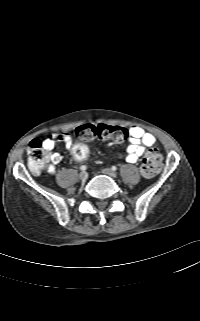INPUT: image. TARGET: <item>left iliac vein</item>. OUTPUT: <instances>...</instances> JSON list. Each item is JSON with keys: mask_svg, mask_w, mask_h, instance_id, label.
<instances>
[{"mask_svg": "<svg viewBox=\"0 0 200 321\" xmlns=\"http://www.w3.org/2000/svg\"><path fill=\"white\" fill-rule=\"evenodd\" d=\"M102 173L105 174V175H108V176H110L112 178H116V176H117L116 173L110 168H104L102 170Z\"/></svg>", "mask_w": 200, "mask_h": 321, "instance_id": "left-iliac-vein-1", "label": "left iliac vein"}]
</instances>
